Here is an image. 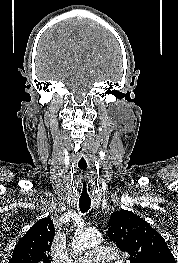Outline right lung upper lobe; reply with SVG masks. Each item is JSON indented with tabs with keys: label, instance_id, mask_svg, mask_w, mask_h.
Wrapping results in <instances>:
<instances>
[{
	"label": "right lung upper lobe",
	"instance_id": "1",
	"mask_svg": "<svg viewBox=\"0 0 178 263\" xmlns=\"http://www.w3.org/2000/svg\"><path fill=\"white\" fill-rule=\"evenodd\" d=\"M54 236L52 220H39L18 241L9 263H51L49 252Z\"/></svg>",
	"mask_w": 178,
	"mask_h": 263
}]
</instances>
